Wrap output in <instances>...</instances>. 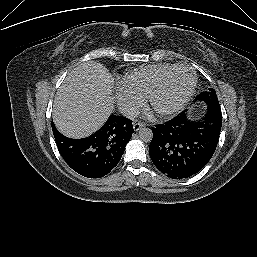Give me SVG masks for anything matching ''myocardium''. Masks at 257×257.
<instances>
[{
    "mask_svg": "<svg viewBox=\"0 0 257 257\" xmlns=\"http://www.w3.org/2000/svg\"><path fill=\"white\" fill-rule=\"evenodd\" d=\"M179 69H186L188 71L191 72L192 74V82L191 85L188 89V91L186 92V94L174 105H172L171 107L167 108V109H156L154 106V100L157 97V95L160 93L166 79L176 70ZM196 86H197V74L195 72V70L186 65V64H178V65H174L173 67H171L170 69H168L166 72H164L159 79L156 81V83L154 84L153 88L151 89V91L149 92L148 96H147V104L148 107L150 109H152L158 116L160 117H167V116H171L177 112H179L181 109H183L187 103L191 100L195 90H196Z\"/></svg>",
    "mask_w": 257,
    "mask_h": 257,
    "instance_id": "f54148a6",
    "label": "myocardium"
}]
</instances>
